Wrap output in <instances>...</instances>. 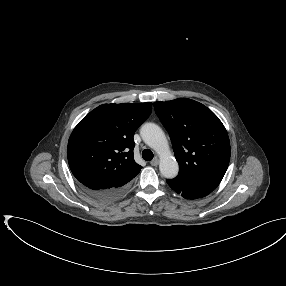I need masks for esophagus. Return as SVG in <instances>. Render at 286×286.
Instances as JSON below:
<instances>
[{
	"mask_svg": "<svg viewBox=\"0 0 286 286\" xmlns=\"http://www.w3.org/2000/svg\"><path fill=\"white\" fill-rule=\"evenodd\" d=\"M150 164H151L152 166H157V165L159 164L158 158L153 159V160L150 162Z\"/></svg>",
	"mask_w": 286,
	"mask_h": 286,
	"instance_id": "esophagus-1",
	"label": "esophagus"
}]
</instances>
